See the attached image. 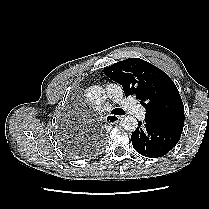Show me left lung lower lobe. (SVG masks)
<instances>
[{
	"instance_id": "0a47b994",
	"label": "left lung lower lobe",
	"mask_w": 209,
	"mask_h": 209,
	"mask_svg": "<svg viewBox=\"0 0 209 209\" xmlns=\"http://www.w3.org/2000/svg\"><path fill=\"white\" fill-rule=\"evenodd\" d=\"M183 129L165 127L145 118L138 121L137 129L131 135L134 149L149 158L167 154L179 141Z\"/></svg>"
}]
</instances>
